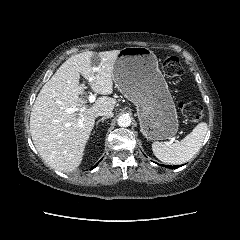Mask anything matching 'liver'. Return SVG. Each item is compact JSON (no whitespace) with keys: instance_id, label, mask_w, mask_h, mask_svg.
Segmentation results:
<instances>
[{"instance_id":"1","label":"liver","mask_w":240,"mask_h":240,"mask_svg":"<svg viewBox=\"0 0 240 240\" xmlns=\"http://www.w3.org/2000/svg\"><path fill=\"white\" fill-rule=\"evenodd\" d=\"M120 50L95 53L85 51L66 60L40 90L30 115L33 143L52 168L74 171L82 162L84 149L95 124V114L112 111L116 99L107 95L113 92V68ZM99 60L94 65L93 59ZM80 75L89 80L91 89L104 95L92 105L79 97L84 87ZM83 109L67 113L71 107Z\"/></svg>"}]
</instances>
